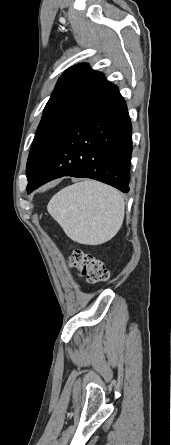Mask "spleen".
I'll return each instance as SVG.
<instances>
[{
	"mask_svg": "<svg viewBox=\"0 0 171 445\" xmlns=\"http://www.w3.org/2000/svg\"><path fill=\"white\" fill-rule=\"evenodd\" d=\"M47 209L69 238L82 244L99 245L120 230L125 204L115 188L85 180L57 192Z\"/></svg>",
	"mask_w": 171,
	"mask_h": 445,
	"instance_id": "spleen-1",
	"label": "spleen"
}]
</instances>
